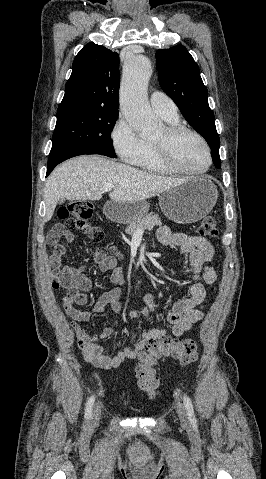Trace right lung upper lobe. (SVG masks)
<instances>
[{
	"mask_svg": "<svg viewBox=\"0 0 266 479\" xmlns=\"http://www.w3.org/2000/svg\"><path fill=\"white\" fill-rule=\"evenodd\" d=\"M119 56L95 43L76 55L65 95L57 114L67 112H118Z\"/></svg>",
	"mask_w": 266,
	"mask_h": 479,
	"instance_id": "cb5924a9",
	"label": "right lung upper lobe"
}]
</instances>
